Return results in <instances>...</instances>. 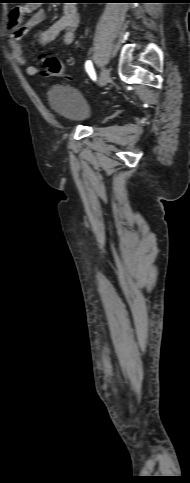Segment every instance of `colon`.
I'll use <instances>...</instances> for the list:
<instances>
[{
	"instance_id": "colon-1",
	"label": "colon",
	"mask_w": 190,
	"mask_h": 483,
	"mask_svg": "<svg viewBox=\"0 0 190 483\" xmlns=\"http://www.w3.org/2000/svg\"><path fill=\"white\" fill-rule=\"evenodd\" d=\"M66 64L53 55H47L43 62V73L48 77H64Z\"/></svg>"
}]
</instances>
